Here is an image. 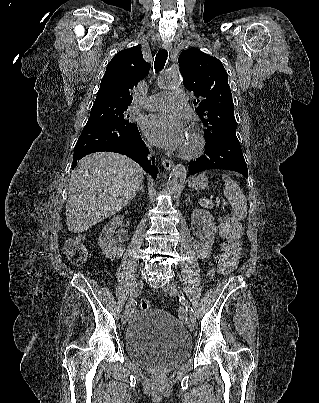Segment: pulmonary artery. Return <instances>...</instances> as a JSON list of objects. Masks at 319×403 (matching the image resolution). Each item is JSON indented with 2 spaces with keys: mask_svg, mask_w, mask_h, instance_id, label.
Returning a JSON list of instances; mask_svg holds the SVG:
<instances>
[{
  "mask_svg": "<svg viewBox=\"0 0 319 403\" xmlns=\"http://www.w3.org/2000/svg\"><path fill=\"white\" fill-rule=\"evenodd\" d=\"M187 105V99L182 89H173L168 92L150 96L144 107L146 109L157 110L165 108H183Z\"/></svg>",
  "mask_w": 319,
  "mask_h": 403,
  "instance_id": "obj_1",
  "label": "pulmonary artery"
}]
</instances>
